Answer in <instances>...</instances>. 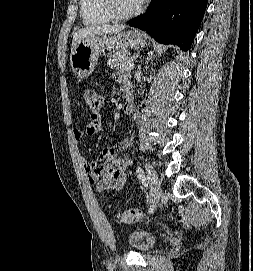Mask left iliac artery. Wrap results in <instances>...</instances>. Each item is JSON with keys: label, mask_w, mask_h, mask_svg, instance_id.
<instances>
[{"label": "left iliac artery", "mask_w": 253, "mask_h": 271, "mask_svg": "<svg viewBox=\"0 0 253 271\" xmlns=\"http://www.w3.org/2000/svg\"><path fill=\"white\" fill-rule=\"evenodd\" d=\"M137 175H138V178L139 180L141 181V183L147 187V183H146V177H145V173H144V170L141 166H138L137 167Z\"/></svg>", "instance_id": "left-iliac-artery-1"}]
</instances>
